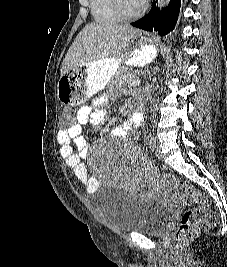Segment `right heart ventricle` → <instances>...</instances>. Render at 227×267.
<instances>
[{
	"label": "right heart ventricle",
	"mask_w": 227,
	"mask_h": 267,
	"mask_svg": "<svg viewBox=\"0 0 227 267\" xmlns=\"http://www.w3.org/2000/svg\"><path fill=\"white\" fill-rule=\"evenodd\" d=\"M94 19L102 24H115L121 21L113 7V0H90Z\"/></svg>",
	"instance_id": "1"
}]
</instances>
